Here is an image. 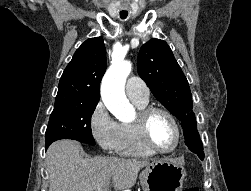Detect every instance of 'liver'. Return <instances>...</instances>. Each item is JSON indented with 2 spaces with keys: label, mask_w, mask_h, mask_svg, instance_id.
I'll return each mask as SVG.
<instances>
[{
  "label": "liver",
  "mask_w": 251,
  "mask_h": 191,
  "mask_svg": "<svg viewBox=\"0 0 251 191\" xmlns=\"http://www.w3.org/2000/svg\"><path fill=\"white\" fill-rule=\"evenodd\" d=\"M49 191H95L102 185L106 191L130 189L138 171L149 165V159L124 157H87L82 145L74 139H58L46 153Z\"/></svg>",
  "instance_id": "liver-1"
}]
</instances>
